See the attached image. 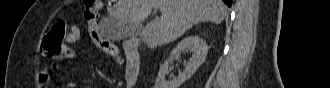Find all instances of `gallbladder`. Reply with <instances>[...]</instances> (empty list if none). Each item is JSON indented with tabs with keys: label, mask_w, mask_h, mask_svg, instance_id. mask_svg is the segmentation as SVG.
<instances>
[{
	"label": "gallbladder",
	"mask_w": 330,
	"mask_h": 88,
	"mask_svg": "<svg viewBox=\"0 0 330 88\" xmlns=\"http://www.w3.org/2000/svg\"><path fill=\"white\" fill-rule=\"evenodd\" d=\"M140 30V24L122 21L105 22L102 26L104 37L112 41L133 38L139 34Z\"/></svg>",
	"instance_id": "bac80fb5"
}]
</instances>
